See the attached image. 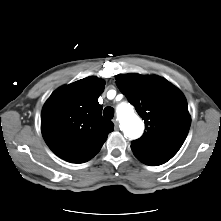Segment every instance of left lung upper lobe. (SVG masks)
Listing matches in <instances>:
<instances>
[{"mask_svg":"<svg viewBox=\"0 0 221 221\" xmlns=\"http://www.w3.org/2000/svg\"><path fill=\"white\" fill-rule=\"evenodd\" d=\"M116 84L145 122L143 136L131 143L134 155L152 166L167 162L178 152L190 128L186 98L159 76L120 74Z\"/></svg>","mask_w":221,"mask_h":221,"instance_id":"left-lung-upper-lobe-1","label":"left lung upper lobe"}]
</instances>
